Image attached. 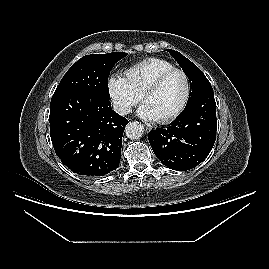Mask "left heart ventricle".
<instances>
[{"label": "left heart ventricle", "instance_id": "left-heart-ventricle-1", "mask_svg": "<svg viewBox=\"0 0 269 269\" xmlns=\"http://www.w3.org/2000/svg\"><path fill=\"white\" fill-rule=\"evenodd\" d=\"M185 92V78L176 72L170 75L157 91L149 94L144 103L150 107L157 119L163 118L181 105Z\"/></svg>", "mask_w": 269, "mask_h": 269}]
</instances>
